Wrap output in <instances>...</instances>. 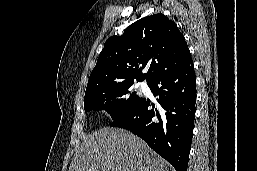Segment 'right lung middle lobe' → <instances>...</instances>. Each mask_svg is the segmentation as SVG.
I'll list each match as a JSON object with an SVG mask.
<instances>
[{"instance_id":"right-lung-middle-lobe-1","label":"right lung middle lobe","mask_w":257,"mask_h":171,"mask_svg":"<svg viewBox=\"0 0 257 171\" xmlns=\"http://www.w3.org/2000/svg\"><path fill=\"white\" fill-rule=\"evenodd\" d=\"M133 84L126 82L85 92V110H105L112 119L124 114L140 98Z\"/></svg>"}]
</instances>
